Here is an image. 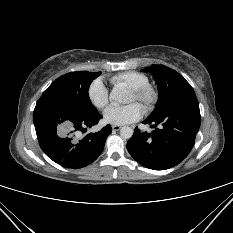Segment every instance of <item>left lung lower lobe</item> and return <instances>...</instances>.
Returning <instances> with one entry per match:
<instances>
[{
    "label": "left lung lower lobe",
    "mask_w": 233,
    "mask_h": 233,
    "mask_svg": "<svg viewBox=\"0 0 233 233\" xmlns=\"http://www.w3.org/2000/svg\"><path fill=\"white\" fill-rule=\"evenodd\" d=\"M143 123L155 130L140 132L136 127L127 142L130 155L153 170L178 165L193 148L200 127L199 103L192 87L185 89L163 115ZM158 125L162 127L156 128Z\"/></svg>",
    "instance_id": "1"
}]
</instances>
